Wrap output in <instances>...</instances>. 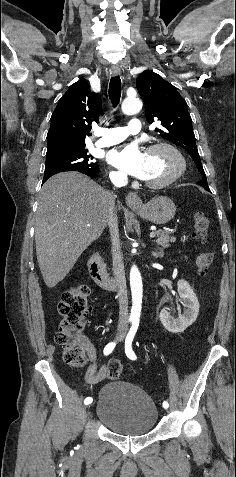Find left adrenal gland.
<instances>
[{"label":"left adrenal gland","instance_id":"a2214340","mask_svg":"<svg viewBox=\"0 0 236 477\" xmlns=\"http://www.w3.org/2000/svg\"><path fill=\"white\" fill-rule=\"evenodd\" d=\"M152 255H153L154 257H156V258H157V257H162V256H163V251L161 250V251H159V252H152Z\"/></svg>","mask_w":236,"mask_h":477}]
</instances>
